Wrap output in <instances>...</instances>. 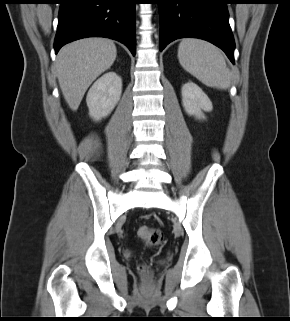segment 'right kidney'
I'll return each instance as SVG.
<instances>
[{
	"instance_id": "ca27d5eb",
	"label": "right kidney",
	"mask_w": 290,
	"mask_h": 321,
	"mask_svg": "<svg viewBox=\"0 0 290 321\" xmlns=\"http://www.w3.org/2000/svg\"><path fill=\"white\" fill-rule=\"evenodd\" d=\"M122 79L115 72H107L90 88L86 97L89 115L95 121L107 117L120 100Z\"/></svg>"
}]
</instances>
